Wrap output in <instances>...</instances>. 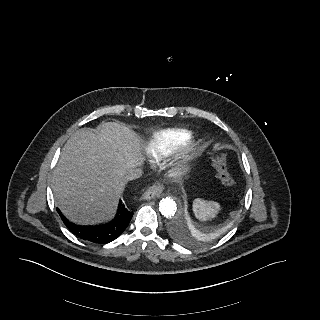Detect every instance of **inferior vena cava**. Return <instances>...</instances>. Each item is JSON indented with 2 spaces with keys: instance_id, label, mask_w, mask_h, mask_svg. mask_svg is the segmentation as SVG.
<instances>
[{
  "instance_id": "inferior-vena-cava-1",
  "label": "inferior vena cava",
  "mask_w": 320,
  "mask_h": 320,
  "mask_svg": "<svg viewBox=\"0 0 320 320\" xmlns=\"http://www.w3.org/2000/svg\"><path fill=\"white\" fill-rule=\"evenodd\" d=\"M142 176V170L140 168L129 169L125 174L126 180H134Z\"/></svg>"
}]
</instances>
